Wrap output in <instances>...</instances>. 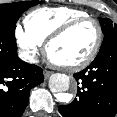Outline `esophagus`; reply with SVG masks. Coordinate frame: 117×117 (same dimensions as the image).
<instances>
[{
  "label": "esophagus",
  "instance_id": "34e87169",
  "mask_svg": "<svg viewBox=\"0 0 117 117\" xmlns=\"http://www.w3.org/2000/svg\"><path fill=\"white\" fill-rule=\"evenodd\" d=\"M51 74H52L51 71H49V70H44V78H45V79L49 78V76H50Z\"/></svg>",
  "mask_w": 117,
  "mask_h": 117
}]
</instances>
